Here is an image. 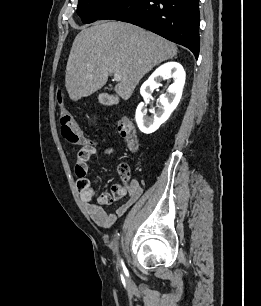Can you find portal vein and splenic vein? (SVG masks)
<instances>
[{"label": "portal vein and splenic vein", "instance_id": "portal-vein-and-splenic-vein-1", "mask_svg": "<svg viewBox=\"0 0 261 306\" xmlns=\"http://www.w3.org/2000/svg\"><path fill=\"white\" fill-rule=\"evenodd\" d=\"M114 80L115 81H120L121 80V76L119 74H114Z\"/></svg>", "mask_w": 261, "mask_h": 306}]
</instances>
